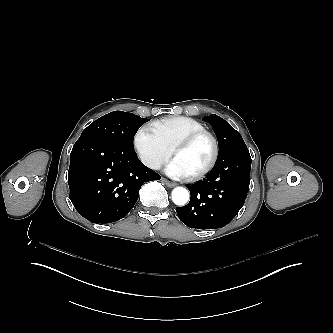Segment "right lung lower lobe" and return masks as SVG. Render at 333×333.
Segmentation results:
<instances>
[{"mask_svg":"<svg viewBox=\"0 0 333 333\" xmlns=\"http://www.w3.org/2000/svg\"><path fill=\"white\" fill-rule=\"evenodd\" d=\"M160 178L136 153L97 136L80 137L70 154V200L93 223L115 222L126 216L142 184Z\"/></svg>","mask_w":333,"mask_h":333,"instance_id":"obj_1","label":"right lung lower lobe"}]
</instances>
